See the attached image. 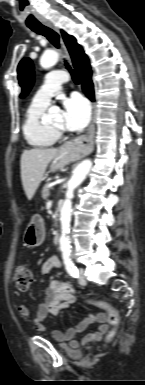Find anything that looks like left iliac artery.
Instances as JSON below:
<instances>
[{"instance_id":"44dca946","label":"left iliac artery","mask_w":145,"mask_h":385,"mask_svg":"<svg viewBox=\"0 0 145 385\" xmlns=\"http://www.w3.org/2000/svg\"><path fill=\"white\" fill-rule=\"evenodd\" d=\"M62 257L64 261L65 268L68 272V274L72 277H78V269L74 265L71 257H70V251H63L62 252Z\"/></svg>"}]
</instances>
